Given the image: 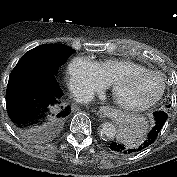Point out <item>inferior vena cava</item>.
I'll list each match as a JSON object with an SVG mask.
<instances>
[{
    "label": "inferior vena cava",
    "instance_id": "602c4592",
    "mask_svg": "<svg viewBox=\"0 0 177 177\" xmlns=\"http://www.w3.org/2000/svg\"><path fill=\"white\" fill-rule=\"evenodd\" d=\"M73 96L77 102L83 104L90 102L94 97L93 93L89 91H75Z\"/></svg>",
    "mask_w": 177,
    "mask_h": 177
}]
</instances>
